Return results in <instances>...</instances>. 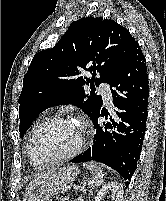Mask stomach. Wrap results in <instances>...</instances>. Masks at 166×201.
I'll use <instances>...</instances> for the list:
<instances>
[{"label":"stomach","instance_id":"stomach-1","mask_svg":"<svg viewBox=\"0 0 166 201\" xmlns=\"http://www.w3.org/2000/svg\"><path fill=\"white\" fill-rule=\"evenodd\" d=\"M77 175L78 169L74 166L55 172L32 194L29 201H47L51 196L62 191L67 184L73 182Z\"/></svg>","mask_w":166,"mask_h":201}]
</instances>
